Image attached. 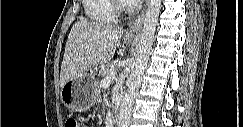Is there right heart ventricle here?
<instances>
[{"label":"right heart ventricle","instance_id":"right-heart-ventricle-1","mask_svg":"<svg viewBox=\"0 0 243 127\" xmlns=\"http://www.w3.org/2000/svg\"><path fill=\"white\" fill-rule=\"evenodd\" d=\"M115 2V0H85V15L90 21L98 24L114 22L117 19Z\"/></svg>","mask_w":243,"mask_h":127}]
</instances>
